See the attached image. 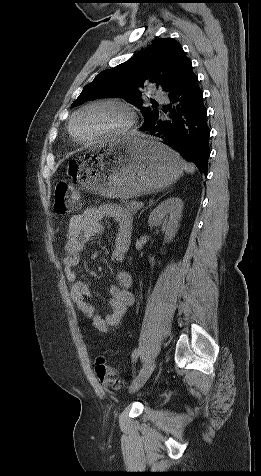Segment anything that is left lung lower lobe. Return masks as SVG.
<instances>
[{"instance_id":"obj_1","label":"left lung lower lobe","mask_w":261,"mask_h":476,"mask_svg":"<svg viewBox=\"0 0 261 476\" xmlns=\"http://www.w3.org/2000/svg\"><path fill=\"white\" fill-rule=\"evenodd\" d=\"M168 97L171 103L141 129L161 138L166 146L207 175L210 130L203 94L192 65Z\"/></svg>"}]
</instances>
